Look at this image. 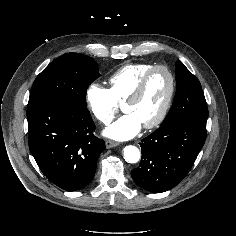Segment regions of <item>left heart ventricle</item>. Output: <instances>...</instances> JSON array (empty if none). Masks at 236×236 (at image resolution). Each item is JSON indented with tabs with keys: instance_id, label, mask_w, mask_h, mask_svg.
<instances>
[{
	"instance_id": "b2bd125f",
	"label": "left heart ventricle",
	"mask_w": 236,
	"mask_h": 236,
	"mask_svg": "<svg viewBox=\"0 0 236 236\" xmlns=\"http://www.w3.org/2000/svg\"><path fill=\"white\" fill-rule=\"evenodd\" d=\"M169 90V78L162 71L154 72L149 78L141 97L124 106L126 113L135 114L142 124L153 121L160 113Z\"/></svg>"
}]
</instances>
